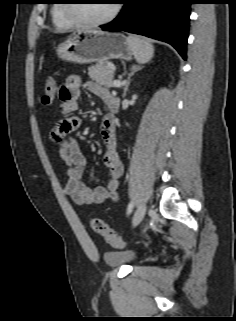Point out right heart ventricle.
<instances>
[{
  "label": "right heart ventricle",
  "mask_w": 236,
  "mask_h": 321,
  "mask_svg": "<svg viewBox=\"0 0 236 321\" xmlns=\"http://www.w3.org/2000/svg\"><path fill=\"white\" fill-rule=\"evenodd\" d=\"M66 0H59L55 4L51 11V17L53 24L60 29H68L73 27L75 24L66 16L64 6Z\"/></svg>",
  "instance_id": "e07e8e85"
}]
</instances>
